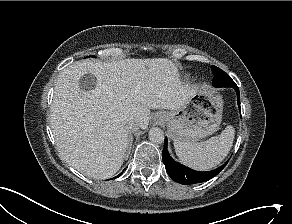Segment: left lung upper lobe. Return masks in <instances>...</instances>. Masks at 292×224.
<instances>
[{
  "label": "left lung upper lobe",
  "mask_w": 292,
  "mask_h": 224,
  "mask_svg": "<svg viewBox=\"0 0 292 224\" xmlns=\"http://www.w3.org/2000/svg\"><path fill=\"white\" fill-rule=\"evenodd\" d=\"M211 69L214 74V78L212 82V85L214 87H224L226 84L230 83L228 81L229 79L228 75L224 71H222L220 68L216 66H212Z\"/></svg>",
  "instance_id": "1"
}]
</instances>
